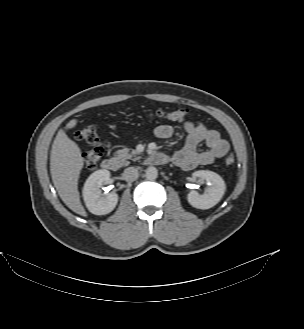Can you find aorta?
Wrapping results in <instances>:
<instances>
[{
	"label": "aorta",
	"instance_id": "aorta-1",
	"mask_svg": "<svg viewBox=\"0 0 304 329\" xmlns=\"http://www.w3.org/2000/svg\"><path fill=\"white\" fill-rule=\"evenodd\" d=\"M146 177L149 180H155L158 177V170L153 166L148 167L146 169Z\"/></svg>",
	"mask_w": 304,
	"mask_h": 329
}]
</instances>
